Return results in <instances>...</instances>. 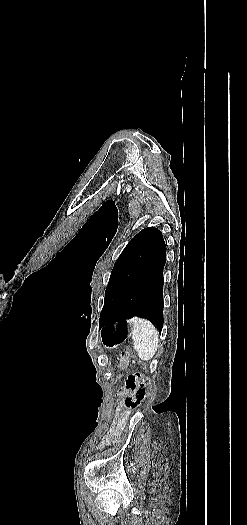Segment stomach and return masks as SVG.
<instances>
[{
  "instance_id": "obj_1",
  "label": "stomach",
  "mask_w": 247,
  "mask_h": 525,
  "mask_svg": "<svg viewBox=\"0 0 247 525\" xmlns=\"http://www.w3.org/2000/svg\"><path fill=\"white\" fill-rule=\"evenodd\" d=\"M132 330L133 326L130 321L106 326L101 331V342L104 348L107 350L113 349L115 345L129 337Z\"/></svg>"
}]
</instances>
